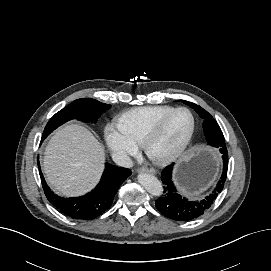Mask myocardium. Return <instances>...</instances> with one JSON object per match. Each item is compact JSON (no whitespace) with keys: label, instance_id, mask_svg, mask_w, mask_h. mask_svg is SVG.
Wrapping results in <instances>:
<instances>
[{"label":"myocardium","instance_id":"myocardium-1","mask_svg":"<svg viewBox=\"0 0 271 271\" xmlns=\"http://www.w3.org/2000/svg\"><path fill=\"white\" fill-rule=\"evenodd\" d=\"M180 111L187 112L191 117L192 125H191L190 133L188 134L187 138L179 147H177L176 149L170 152H167L164 154L153 153L151 150L153 143L160 136V134L162 133L169 119L174 114ZM195 131H196V119L193 112L189 108H186V107H177L171 110L169 113H167L152 127V129L144 136L141 142V147L144 153L147 155V157L151 159L153 162L160 165L170 164L176 161L186 152V150L189 148V146L191 145L193 141Z\"/></svg>","mask_w":271,"mask_h":271}]
</instances>
